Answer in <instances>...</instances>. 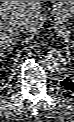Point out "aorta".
I'll return each instance as SVG.
<instances>
[{
    "mask_svg": "<svg viewBox=\"0 0 74 122\" xmlns=\"http://www.w3.org/2000/svg\"><path fill=\"white\" fill-rule=\"evenodd\" d=\"M43 63L49 72L59 73L66 65V58L60 51L50 49L44 54Z\"/></svg>",
    "mask_w": 74,
    "mask_h": 122,
    "instance_id": "obj_1",
    "label": "aorta"
}]
</instances>
